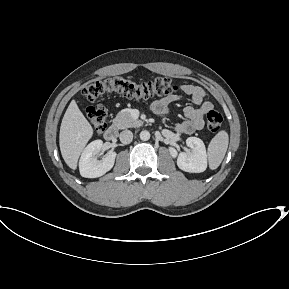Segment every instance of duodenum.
Masks as SVG:
<instances>
[{
	"label": "duodenum",
	"mask_w": 289,
	"mask_h": 289,
	"mask_svg": "<svg viewBox=\"0 0 289 289\" xmlns=\"http://www.w3.org/2000/svg\"><path fill=\"white\" fill-rule=\"evenodd\" d=\"M118 131L114 126H110L104 133V138L109 142H114L117 138Z\"/></svg>",
	"instance_id": "obj_1"
}]
</instances>
